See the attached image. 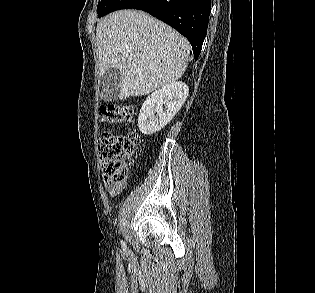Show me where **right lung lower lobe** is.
Returning <instances> with one entry per match:
<instances>
[{
  "label": "right lung lower lobe",
  "instance_id": "98d812e1",
  "mask_svg": "<svg viewBox=\"0 0 315 293\" xmlns=\"http://www.w3.org/2000/svg\"><path fill=\"white\" fill-rule=\"evenodd\" d=\"M129 8L146 11L175 28L189 40L197 60L207 33L211 0H112L102 16Z\"/></svg>",
  "mask_w": 315,
  "mask_h": 293
}]
</instances>
